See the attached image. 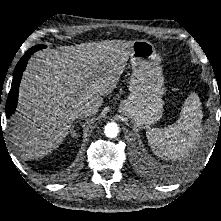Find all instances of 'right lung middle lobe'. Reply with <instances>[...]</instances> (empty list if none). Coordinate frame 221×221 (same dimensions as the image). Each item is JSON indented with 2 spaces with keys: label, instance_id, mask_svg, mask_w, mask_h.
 Returning a JSON list of instances; mask_svg holds the SVG:
<instances>
[{
  "label": "right lung middle lobe",
  "instance_id": "dd1d6c3e",
  "mask_svg": "<svg viewBox=\"0 0 221 221\" xmlns=\"http://www.w3.org/2000/svg\"><path fill=\"white\" fill-rule=\"evenodd\" d=\"M39 48L38 49H42V48H45L46 46L45 45H37ZM36 46V47H37Z\"/></svg>",
  "mask_w": 221,
  "mask_h": 221
}]
</instances>
